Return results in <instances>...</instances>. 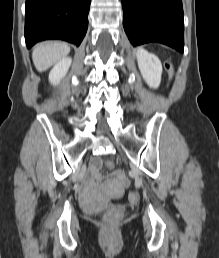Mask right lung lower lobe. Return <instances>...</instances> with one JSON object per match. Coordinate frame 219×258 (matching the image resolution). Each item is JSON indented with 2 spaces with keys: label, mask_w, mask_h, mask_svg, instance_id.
I'll use <instances>...</instances> for the list:
<instances>
[{
  "label": "right lung lower lobe",
  "mask_w": 219,
  "mask_h": 258,
  "mask_svg": "<svg viewBox=\"0 0 219 258\" xmlns=\"http://www.w3.org/2000/svg\"><path fill=\"white\" fill-rule=\"evenodd\" d=\"M89 7L90 0H26L27 47L46 39L79 46L87 31Z\"/></svg>",
  "instance_id": "1"
}]
</instances>
